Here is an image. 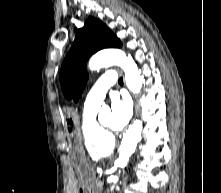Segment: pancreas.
Returning <instances> with one entry per match:
<instances>
[{
  "instance_id": "cf45deb5",
  "label": "pancreas",
  "mask_w": 221,
  "mask_h": 193,
  "mask_svg": "<svg viewBox=\"0 0 221 193\" xmlns=\"http://www.w3.org/2000/svg\"><path fill=\"white\" fill-rule=\"evenodd\" d=\"M101 190H102V187L99 185V179L97 178L95 180V192L100 193Z\"/></svg>"
}]
</instances>
